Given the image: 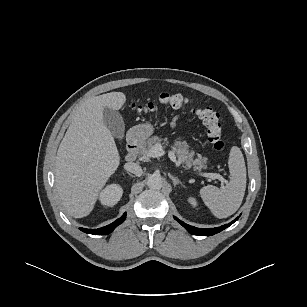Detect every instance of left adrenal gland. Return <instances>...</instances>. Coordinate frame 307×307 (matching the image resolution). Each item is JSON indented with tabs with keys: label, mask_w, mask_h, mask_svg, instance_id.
Here are the masks:
<instances>
[{
	"label": "left adrenal gland",
	"mask_w": 307,
	"mask_h": 307,
	"mask_svg": "<svg viewBox=\"0 0 307 307\" xmlns=\"http://www.w3.org/2000/svg\"><path fill=\"white\" fill-rule=\"evenodd\" d=\"M168 176L169 178L173 181V185L176 186L177 184H181L182 185V182L180 181L179 178L171 175L170 173H168Z\"/></svg>",
	"instance_id": "left-adrenal-gland-1"
}]
</instances>
